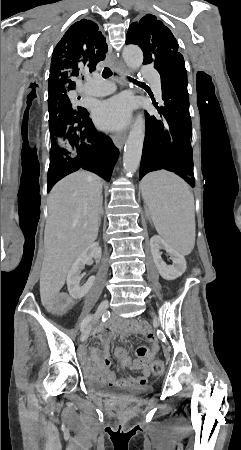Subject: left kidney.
<instances>
[{
  "label": "left kidney",
  "instance_id": "5707ae66",
  "mask_svg": "<svg viewBox=\"0 0 241 450\" xmlns=\"http://www.w3.org/2000/svg\"><path fill=\"white\" fill-rule=\"evenodd\" d=\"M150 248L155 262V266L164 280H176L179 276H182L186 270V260L184 256L178 254L176 250H173L163 238L160 236H153L150 240ZM160 250H166L167 254L171 256L173 266H167L164 260L161 258Z\"/></svg>",
  "mask_w": 241,
  "mask_h": 450
}]
</instances>
